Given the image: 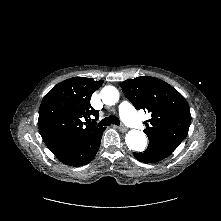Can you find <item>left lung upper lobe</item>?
Here are the masks:
<instances>
[{
    "label": "left lung upper lobe",
    "mask_w": 221,
    "mask_h": 221,
    "mask_svg": "<svg viewBox=\"0 0 221 221\" xmlns=\"http://www.w3.org/2000/svg\"><path fill=\"white\" fill-rule=\"evenodd\" d=\"M122 91L136 109L151 113L144 132L149 145L174 151L188 134L191 114L185 98L171 85L150 76L128 79Z\"/></svg>",
    "instance_id": "5c2ea615"
}]
</instances>
